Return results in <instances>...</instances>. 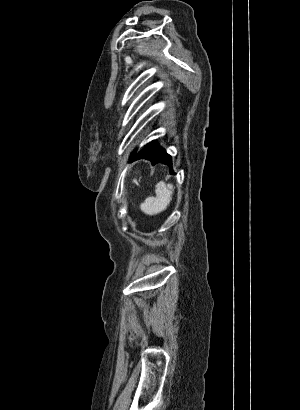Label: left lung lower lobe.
<instances>
[{
	"label": "left lung lower lobe",
	"mask_w": 300,
	"mask_h": 410,
	"mask_svg": "<svg viewBox=\"0 0 300 410\" xmlns=\"http://www.w3.org/2000/svg\"><path fill=\"white\" fill-rule=\"evenodd\" d=\"M133 157L131 161H135L141 158L148 159L153 165L162 162L168 165L172 171V161L171 156L166 153V151L161 148L156 141L148 143L140 152L132 154Z\"/></svg>",
	"instance_id": "0a47b994"
}]
</instances>
